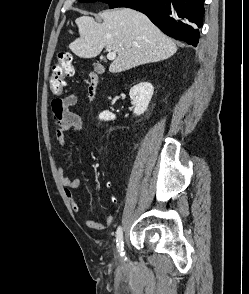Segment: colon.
<instances>
[{"label":"colon","instance_id":"obj_1","mask_svg":"<svg viewBox=\"0 0 249 294\" xmlns=\"http://www.w3.org/2000/svg\"><path fill=\"white\" fill-rule=\"evenodd\" d=\"M72 55L69 52L59 54L58 62L52 67L49 77V87L54 95L62 94L66 79L74 75Z\"/></svg>","mask_w":249,"mask_h":294}]
</instances>
